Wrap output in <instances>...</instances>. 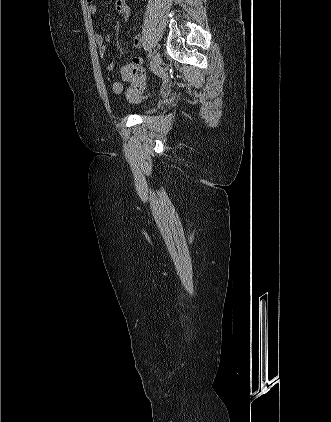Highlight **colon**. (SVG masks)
I'll return each instance as SVG.
<instances>
[{"instance_id":"1","label":"colon","mask_w":331,"mask_h":422,"mask_svg":"<svg viewBox=\"0 0 331 422\" xmlns=\"http://www.w3.org/2000/svg\"><path fill=\"white\" fill-rule=\"evenodd\" d=\"M121 75H122L123 78L136 77V78L141 79V78L144 77V71L141 67L135 66V65L130 63V64H126L122 67ZM128 96L130 98H132V96H133L132 90L128 91Z\"/></svg>"}]
</instances>
